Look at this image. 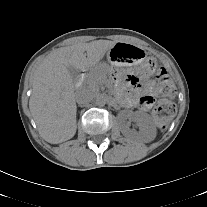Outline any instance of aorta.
<instances>
[{
	"mask_svg": "<svg viewBox=\"0 0 207 207\" xmlns=\"http://www.w3.org/2000/svg\"><path fill=\"white\" fill-rule=\"evenodd\" d=\"M108 101V97L105 94H100L96 97L95 103L98 106H104Z\"/></svg>",
	"mask_w": 207,
	"mask_h": 207,
	"instance_id": "aorta-1",
	"label": "aorta"
}]
</instances>
